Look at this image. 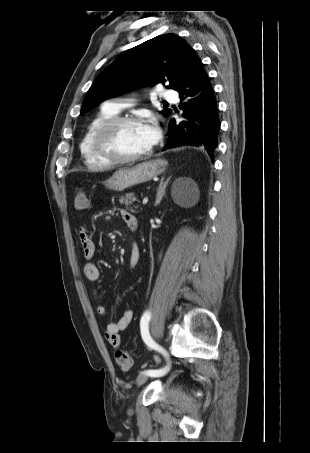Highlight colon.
<instances>
[{
	"instance_id": "obj_1",
	"label": "colon",
	"mask_w": 310,
	"mask_h": 453,
	"mask_svg": "<svg viewBox=\"0 0 310 453\" xmlns=\"http://www.w3.org/2000/svg\"><path fill=\"white\" fill-rule=\"evenodd\" d=\"M74 206L76 210H85L89 206L88 197L82 189L76 191ZM115 360L123 370L130 369L133 363L130 353L124 350H119L115 353Z\"/></svg>"
}]
</instances>
